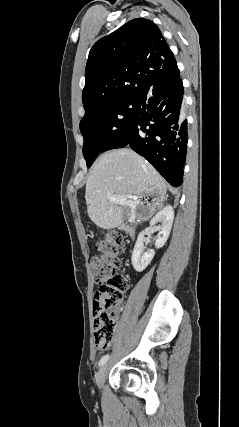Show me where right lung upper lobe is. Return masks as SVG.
<instances>
[{"label":"right lung upper lobe","instance_id":"right-lung-upper-lobe-1","mask_svg":"<svg viewBox=\"0 0 239 427\" xmlns=\"http://www.w3.org/2000/svg\"><path fill=\"white\" fill-rule=\"evenodd\" d=\"M179 73L174 55L151 20L137 18L97 41L89 52L82 102L85 112L115 99H136Z\"/></svg>","mask_w":239,"mask_h":427}]
</instances>
